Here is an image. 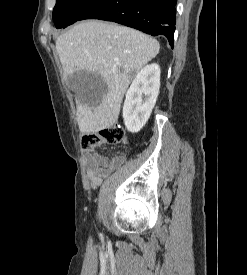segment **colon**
<instances>
[{"instance_id":"5ec220e1","label":"colon","mask_w":247,"mask_h":275,"mask_svg":"<svg viewBox=\"0 0 247 275\" xmlns=\"http://www.w3.org/2000/svg\"><path fill=\"white\" fill-rule=\"evenodd\" d=\"M125 141V133L120 125H113L98 132H87L81 137V146L92 150L103 144L117 145Z\"/></svg>"}]
</instances>
